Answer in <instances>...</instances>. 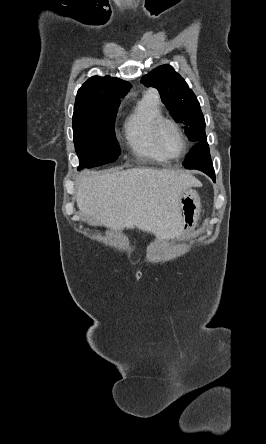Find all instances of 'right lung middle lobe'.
<instances>
[{"label":"right lung middle lobe","mask_w":266,"mask_h":444,"mask_svg":"<svg viewBox=\"0 0 266 444\" xmlns=\"http://www.w3.org/2000/svg\"><path fill=\"white\" fill-rule=\"evenodd\" d=\"M120 100L99 101L74 108L73 136L78 170L114 162L120 155L114 122Z\"/></svg>","instance_id":"right-lung-middle-lobe-1"}]
</instances>
